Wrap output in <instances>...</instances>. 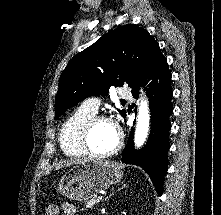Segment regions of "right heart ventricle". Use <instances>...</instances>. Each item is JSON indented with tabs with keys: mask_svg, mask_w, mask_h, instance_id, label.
Instances as JSON below:
<instances>
[{
	"mask_svg": "<svg viewBox=\"0 0 221 215\" xmlns=\"http://www.w3.org/2000/svg\"><path fill=\"white\" fill-rule=\"evenodd\" d=\"M95 114L79 107L64 122L59 132V142L67 156L80 157L86 155L81 147L80 135L85 123Z\"/></svg>",
	"mask_w": 221,
	"mask_h": 215,
	"instance_id": "right-heart-ventricle-1",
	"label": "right heart ventricle"
}]
</instances>
